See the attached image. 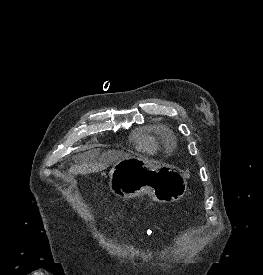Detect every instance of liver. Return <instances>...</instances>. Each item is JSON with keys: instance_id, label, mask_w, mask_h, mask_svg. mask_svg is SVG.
I'll return each instance as SVG.
<instances>
[{"instance_id": "liver-1", "label": "liver", "mask_w": 263, "mask_h": 275, "mask_svg": "<svg viewBox=\"0 0 263 275\" xmlns=\"http://www.w3.org/2000/svg\"><path fill=\"white\" fill-rule=\"evenodd\" d=\"M81 157L84 158L82 162L80 164L71 166V168L69 169L70 173L75 175L77 174L86 175V174L98 172L100 170H104L105 168H107L109 161L112 160L114 162H118L122 159L130 157V155L120 151H111L104 156L106 160H104L103 162L102 161L93 162L91 160L89 161L88 154H84Z\"/></svg>"}]
</instances>
